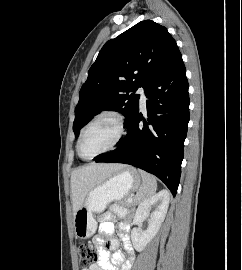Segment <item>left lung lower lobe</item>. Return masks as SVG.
Listing matches in <instances>:
<instances>
[{
  "label": "left lung lower lobe",
  "mask_w": 242,
  "mask_h": 270,
  "mask_svg": "<svg viewBox=\"0 0 242 270\" xmlns=\"http://www.w3.org/2000/svg\"><path fill=\"white\" fill-rule=\"evenodd\" d=\"M186 69L180 55L145 89L147 120L138 112L127 125L126 138L96 162L133 165L161 179L175 196L181 175L184 140L189 122ZM143 121V126L139 122Z\"/></svg>",
  "instance_id": "obj_1"
}]
</instances>
